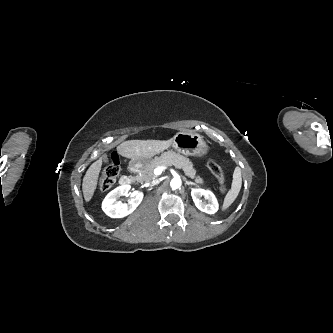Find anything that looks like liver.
Returning a JSON list of instances; mask_svg holds the SVG:
<instances>
[{
  "mask_svg": "<svg viewBox=\"0 0 333 333\" xmlns=\"http://www.w3.org/2000/svg\"><path fill=\"white\" fill-rule=\"evenodd\" d=\"M172 145L169 140H129L117 146V152L129 159H147L168 149ZM102 166L99 158L88 168L82 183L84 199L89 202L97 187L98 177Z\"/></svg>",
  "mask_w": 333,
  "mask_h": 333,
  "instance_id": "liver-1",
  "label": "liver"
}]
</instances>
